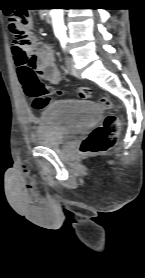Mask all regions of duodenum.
<instances>
[{
    "label": "duodenum",
    "instance_id": "duodenum-1",
    "mask_svg": "<svg viewBox=\"0 0 145 278\" xmlns=\"http://www.w3.org/2000/svg\"><path fill=\"white\" fill-rule=\"evenodd\" d=\"M44 19L47 23H52V14L50 10H47V12H45Z\"/></svg>",
    "mask_w": 145,
    "mask_h": 278
}]
</instances>
